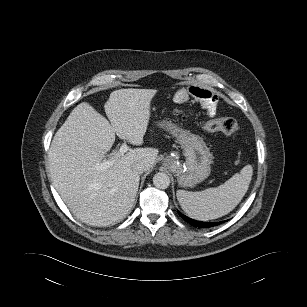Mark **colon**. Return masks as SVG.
Listing matches in <instances>:
<instances>
[{
  "label": "colon",
  "instance_id": "5ec220e1",
  "mask_svg": "<svg viewBox=\"0 0 307 307\" xmlns=\"http://www.w3.org/2000/svg\"><path fill=\"white\" fill-rule=\"evenodd\" d=\"M176 114L182 116L185 119L190 117V114L181 108L176 109ZM202 129L206 132H222L228 135H233L237 134L241 127L236 119L224 117L206 121L203 123Z\"/></svg>",
  "mask_w": 307,
  "mask_h": 307
}]
</instances>
